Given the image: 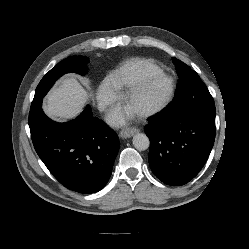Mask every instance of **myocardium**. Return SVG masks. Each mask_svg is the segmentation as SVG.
<instances>
[{
  "label": "myocardium",
  "mask_w": 249,
  "mask_h": 249,
  "mask_svg": "<svg viewBox=\"0 0 249 249\" xmlns=\"http://www.w3.org/2000/svg\"><path fill=\"white\" fill-rule=\"evenodd\" d=\"M159 81H167L169 83V89H168L167 94L156 105L149 107L147 109H144L140 112H137L136 115L139 118H148V117L154 116L160 113L161 111H163L170 104L175 94V83H174L173 78H171L170 76L164 73L150 76L148 78L143 79L139 83H137L126 94L124 98V102L126 104H130L148 87H150L152 84L159 82Z\"/></svg>",
  "instance_id": "f54148a6"
}]
</instances>
